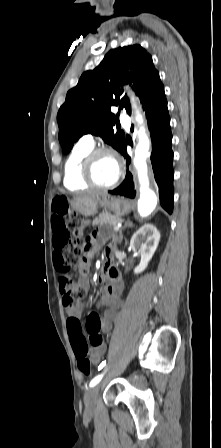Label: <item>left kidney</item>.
Wrapping results in <instances>:
<instances>
[{
    "instance_id": "5707ae66",
    "label": "left kidney",
    "mask_w": 221,
    "mask_h": 448,
    "mask_svg": "<svg viewBox=\"0 0 221 448\" xmlns=\"http://www.w3.org/2000/svg\"><path fill=\"white\" fill-rule=\"evenodd\" d=\"M160 240V233L154 225L146 224L137 230L130 241L133 251L141 255L139 265L134 269L135 274L143 272L152 259Z\"/></svg>"
}]
</instances>
